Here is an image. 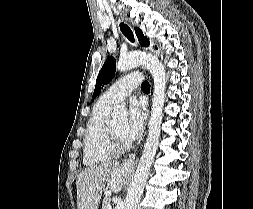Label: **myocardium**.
<instances>
[{
	"label": "myocardium",
	"mask_w": 253,
	"mask_h": 209,
	"mask_svg": "<svg viewBox=\"0 0 253 209\" xmlns=\"http://www.w3.org/2000/svg\"><path fill=\"white\" fill-rule=\"evenodd\" d=\"M107 132L110 147L116 154L124 153L131 148L129 143H124L118 138L110 124L107 125Z\"/></svg>",
	"instance_id": "f54148a6"
}]
</instances>
